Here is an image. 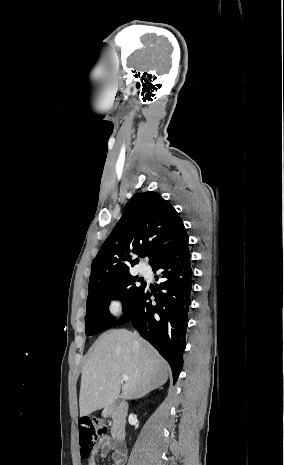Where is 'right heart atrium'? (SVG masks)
I'll return each instance as SVG.
<instances>
[{
    "mask_svg": "<svg viewBox=\"0 0 284 465\" xmlns=\"http://www.w3.org/2000/svg\"><path fill=\"white\" fill-rule=\"evenodd\" d=\"M105 309L111 317H121L127 310V303L121 295H113L107 299Z\"/></svg>",
    "mask_w": 284,
    "mask_h": 465,
    "instance_id": "d8ad5b80",
    "label": "right heart atrium"
}]
</instances>
